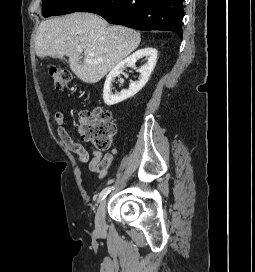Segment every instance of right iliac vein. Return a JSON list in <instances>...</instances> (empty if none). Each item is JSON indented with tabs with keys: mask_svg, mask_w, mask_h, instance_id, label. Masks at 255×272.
<instances>
[{
	"mask_svg": "<svg viewBox=\"0 0 255 272\" xmlns=\"http://www.w3.org/2000/svg\"><path fill=\"white\" fill-rule=\"evenodd\" d=\"M105 215H106V199H104L100 203L95 217V228L96 231L99 233L105 231Z\"/></svg>",
	"mask_w": 255,
	"mask_h": 272,
	"instance_id": "1",
	"label": "right iliac vein"
}]
</instances>
